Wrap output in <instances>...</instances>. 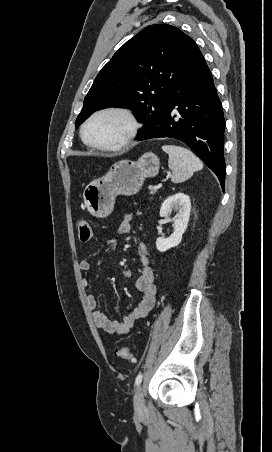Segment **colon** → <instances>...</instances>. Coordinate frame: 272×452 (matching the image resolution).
Here are the masks:
<instances>
[{
  "instance_id": "1",
  "label": "colon",
  "mask_w": 272,
  "mask_h": 452,
  "mask_svg": "<svg viewBox=\"0 0 272 452\" xmlns=\"http://www.w3.org/2000/svg\"><path fill=\"white\" fill-rule=\"evenodd\" d=\"M78 233L79 238L82 242H88L93 238V228L91 224L86 220H80L78 222ZM115 355L117 358L124 360V361H131L133 359V353L130 348L123 347L121 349H118L115 352Z\"/></svg>"
}]
</instances>
